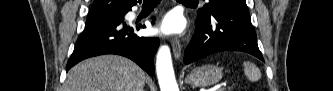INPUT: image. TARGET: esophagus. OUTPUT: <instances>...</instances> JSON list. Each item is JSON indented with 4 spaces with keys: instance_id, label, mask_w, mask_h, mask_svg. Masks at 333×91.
Segmentation results:
<instances>
[{
    "instance_id": "esophagus-1",
    "label": "esophagus",
    "mask_w": 333,
    "mask_h": 91,
    "mask_svg": "<svg viewBox=\"0 0 333 91\" xmlns=\"http://www.w3.org/2000/svg\"><path fill=\"white\" fill-rule=\"evenodd\" d=\"M172 49H173V54L176 59H179L181 56V44L178 39H174L172 41Z\"/></svg>"
}]
</instances>
